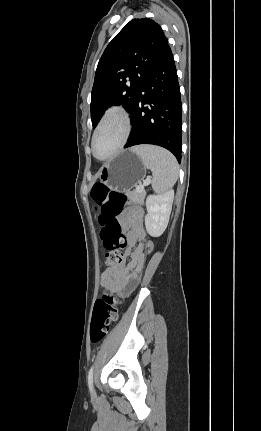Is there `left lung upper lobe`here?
<instances>
[{
    "instance_id": "1",
    "label": "left lung upper lobe",
    "mask_w": 261,
    "mask_h": 431,
    "mask_svg": "<svg viewBox=\"0 0 261 431\" xmlns=\"http://www.w3.org/2000/svg\"><path fill=\"white\" fill-rule=\"evenodd\" d=\"M167 46L160 25L151 19H133L124 26L96 69L91 93L93 127L112 105L122 104L131 113L149 68Z\"/></svg>"
}]
</instances>
